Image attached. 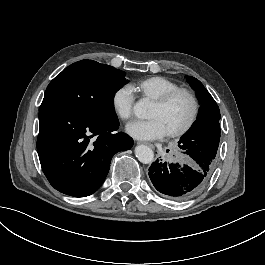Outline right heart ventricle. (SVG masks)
<instances>
[{
  "mask_svg": "<svg viewBox=\"0 0 265 265\" xmlns=\"http://www.w3.org/2000/svg\"><path fill=\"white\" fill-rule=\"evenodd\" d=\"M129 88L143 99H148L153 103L160 97L180 87L177 83L166 77L150 76L130 83Z\"/></svg>",
  "mask_w": 265,
  "mask_h": 265,
  "instance_id": "obj_1",
  "label": "right heart ventricle"
}]
</instances>
